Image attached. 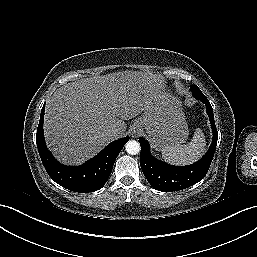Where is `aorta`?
<instances>
[{
    "label": "aorta",
    "instance_id": "1",
    "mask_svg": "<svg viewBox=\"0 0 257 257\" xmlns=\"http://www.w3.org/2000/svg\"><path fill=\"white\" fill-rule=\"evenodd\" d=\"M127 153L136 155L140 152V144L135 140H130L125 145Z\"/></svg>",
    "mask_w": 257,
    "mask_h": 257
}]
</instances>
